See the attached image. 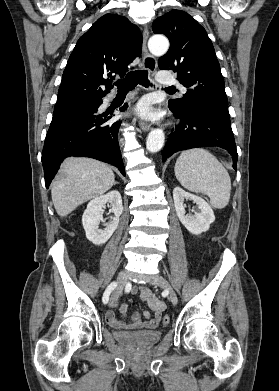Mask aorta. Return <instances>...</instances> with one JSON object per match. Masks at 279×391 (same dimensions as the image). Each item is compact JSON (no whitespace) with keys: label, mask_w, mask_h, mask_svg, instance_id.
I'll return each instance as SVG.
<instances>
[{"label":"aorta","mask_w":279,"mask_h":391,"mask_svg":"<svg viewBox=\"0 0 279 391\" xmlns=\"http://www.w3.org/2000/svg\"><path fill=\"white\" fill-rule=\"evenodd\" d=\"M148 48L155 56L164 55L169 49V41L164 36H153L149 39ZM165 135L161 129H153L146 140V148L152 153L158 152L164 145Z\"/></svg>","instance_id":"aorta-1"}]
</instances>
